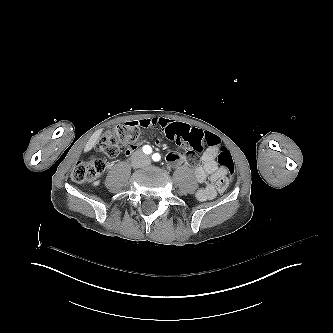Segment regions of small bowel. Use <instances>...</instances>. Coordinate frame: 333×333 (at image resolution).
<instances>
[{"label": "small bowel", "instance_id": "1", "mask_svg": "<svg viewBox=\"0 0 333 333\" xmlns=\"http://www.w3.org/2000/svg\"><path fill=\"white\" fill-rule=\"evenodd\" d=\"M134 126L141 128L158 127L165 131L168 130H182L187 129L183 124L175 122L171 119L164 117H151L142 118L132 122ZM192 130V129H190ZM189 130V131H190ZM197 131V130H195ZM199 132V131H198ZM201 133V132H200ZM155 145L161 144L160 138L154 139ZM136 150V145H128L125 149V155L130 156ZM217 148L210 146L201 156V164L194 170V177L198 183H204L207 178V184L196 192V199L198 201H206L214 199L219 192L220 184L226 180L227 171L216 162ZM187 155L182 151L172 150L166 153L165 162L172 166H180L186 163Z\"/></svg>", "mask_w": 333, "mask_h": 333}]
</instances>
